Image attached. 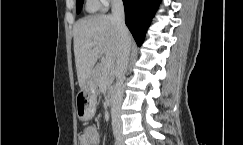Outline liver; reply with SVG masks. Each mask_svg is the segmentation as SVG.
<instances>
[{
    "label": "liver",
    "instance_id": "obj_1",
    "mask_svg": "<svg viewBox=\"0 0 243 145\" xmlns=\"http://www.w3.org/2000/svg\"><path fill=\"white\" fill-rule=\"evenodd\" d=\"M73 37L77 77L82 87L102 51L106 55L118 57L120 40L112 15L89 16L78 20L73 27ZM91 43L95 44L89 47Z\"/></svg>",
    "mask_w": 243,
    "mask_h": 145
}]
</instances>
